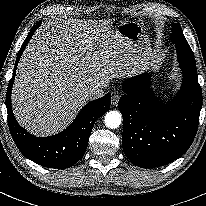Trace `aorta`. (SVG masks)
<instances>
[{"label":"aorta","instance_id":"aorta-1","mask_svg":"<svg viewBox=\"0 0 206 206\" xmlns=\"http://www.w3.org/2000/svg\"><path fill=\"white\" fill-rule=\"evenodd\" d=\"M122 116L118 111H109L105 115L104 123L110 129H116L121 125Z\"/></svg>","mask_w":206,"mask_h":206}]
</instances>
